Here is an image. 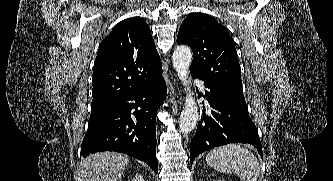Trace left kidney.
<instances>
[{
    "instance_id": "obj_1",
    "label": "left kidney",
    "mask_w": 333,
    "mask_h": 181,
    "mask_svg": "<svg viewBox=\"0 0 333 181\" xmlns=\"http://www.w3.org/2000/svg\"><path fill=\"white\" fill-rule=\"evenodd\" d=\"M214 181H216V180H214ZM217 181H224V180H217Z\"/></svg>"
}]
</instances>
